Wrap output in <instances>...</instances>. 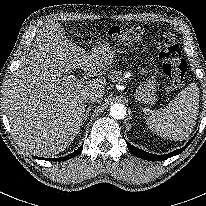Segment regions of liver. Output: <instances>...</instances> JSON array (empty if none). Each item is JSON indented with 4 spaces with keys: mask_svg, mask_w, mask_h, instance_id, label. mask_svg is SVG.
Here are the masks:
<instances>
[{
    "mask_svg": "<svg viewBox=\"0 0 206 206\" xmlns=\"http://www.w3.org/2000/svg\"><path fill=\"white\" fill-rule=\"evenodd\" d=\"M110 63L100 47L87 52L66 37L59 23H45L5 93V111L21 146L34 155H56L69 147L83 123L85 96L102 99L106 80L66 86L62 76L75 68L98 72Z\"/></svg>",
    "mask_w": 206,
    "mask_h": 206,
    "instance_id": "1",
    "label": "liver"
}]
</instances>
